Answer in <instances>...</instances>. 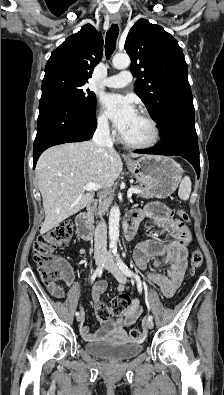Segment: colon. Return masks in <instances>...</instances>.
Wrapping results in <instances>:
<instances>
[{
    "label": "colon",
    "mask_w": 224,
    "mask_h": 395,
    "mask_svg": "<svg viewBox=\"0 0 224 395\" xmlns=\"http://www.w3.org/2000/svg\"><path fill=\"white\" fill-rule=\"evenodd\" d=\"M178 216L184 222L189 220L188 214L183 210L178 211ZM72 233L73 225L64 223L38 236L34 245L33 259L45 283H57L67 278L69 267L54 254V250L68 243L72 238ZM202 264L203 254L199 249H196L191 253L190 268L195 271ZM129 304V297L120 295L113 299L109 305L101 304L98 307L97 315L101 320H110L112 316L122 314ZM130 337L134 341L142 340L145 337V331L140 328H133L130 331Z\"/></svg>",
    "instance_id": "colon-1"
}]
</instances>
